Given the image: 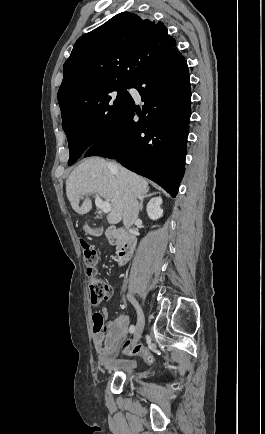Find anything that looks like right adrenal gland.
<instances>
[{
  "label": "right adrenal gland",
  "instance_id": "2a0ac1e0",
  "mask_svg": "<svg viewBox=\"0 0 265 434\" xmlns=\"http://www.w3.org/2000/svg\"><path fill=\"white\" fill-rule=\"evenodd\" d=\"M149 196H154V194H144V196H139V200H140L139 210H140V212H142V210H143V202H144L145 198H149Z\"/></svg>",
  "mask_w": 265,
  "mask_h": 434
}]
</instances>
